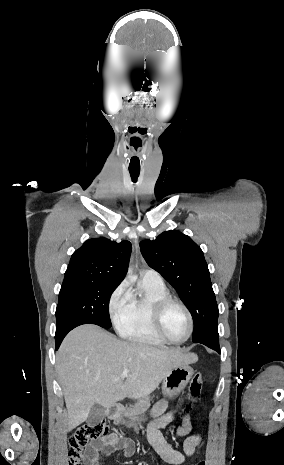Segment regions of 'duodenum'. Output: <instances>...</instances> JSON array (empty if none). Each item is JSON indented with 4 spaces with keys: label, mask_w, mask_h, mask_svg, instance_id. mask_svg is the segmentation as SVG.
Listing matches in <instances>:
<instances>
[{
    "label": "duodenum",
    "mask_w": 284,
    "mask_h": 465,
    "mask_svg": "<svg viewBox=\"0 0 284 465\" xmlns=\"http://www.w3.org/2000/svg\"><path fill=\"white\" fill-rule=\"evenodd\" d=\"M121 411L122 408L120 405H113L108 409L107 414L110 418L115 419L120 415Z\"/></svg>",
    "instance_id": "duodenum-1"
}]
</instances>
